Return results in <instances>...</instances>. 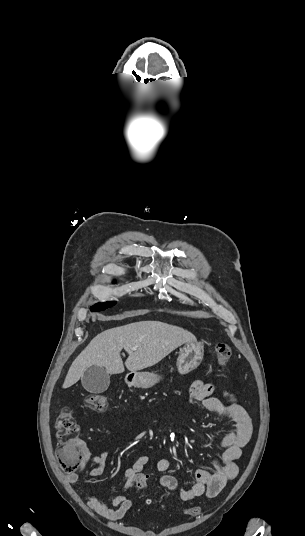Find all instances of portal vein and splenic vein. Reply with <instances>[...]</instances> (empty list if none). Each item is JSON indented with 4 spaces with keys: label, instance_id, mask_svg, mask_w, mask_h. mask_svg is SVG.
Segmentation results:
<instances>
[{
    "label": "portal vein and splenic vein",
    "instance_id": "18ae733b",
    "mask_svg": "<svg viewBox=\"0 0 305 536\" xmlns=\"http://www.w3.org/2000/svg\"><path fill=\"white\" fill-rule=\"evenodd\" d=\"M138 346H136V348H131V350H137Z\"/></svg>",
    "mask_w": 305,
    "mask_h": 536
}]
</instances>
